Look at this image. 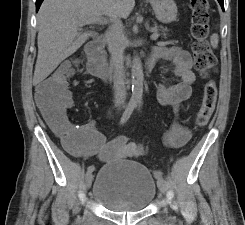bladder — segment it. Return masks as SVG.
Here are the masks:
<instances>
[{"mask_svg":"<svg viewBox=\"0 0 245 225\" xmlns=\"http://www.w3.org/2000/svg\"><path fill=\"white\" fill-rule=\"evenodd\" d=\"M157 193L152 172L131 159L103 165L96 175L92 197L105 209L116 213L140 212Z\"/></svg>","mask_w":245,"mask_h":225,"instance_id":"bladder-1","label":"bladder"}]
</instances>
